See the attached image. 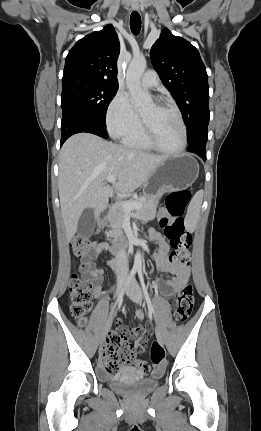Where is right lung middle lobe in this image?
<instances>
[{
	"instance_id": "right-lung-middle-lobe-1",
	"label": "right lung middle lobe",
	"mask_w": 261,
	"mask_h": 431,
	"mask_svg": "<svg viewBox=\"0 0 261 431\" xmlns=\"http://www.w3.org/2000/svg\"><path fill=\"white\" fill-rule=\"evenodd\" d=\"M117 90L116 86L89 77L62 79V111H69L106 128V111Z\"/></svg>"
}]
</instances>
